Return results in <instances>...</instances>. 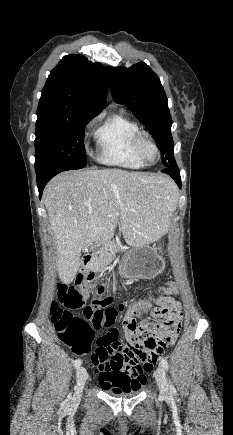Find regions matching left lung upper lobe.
<instances>
[{
	"label": "left lung upper lobe",
	"instance_id": "left-lung-upper-lobe-1",
	"mask_svg": "<svg viewBox=\"0 0 233 435\" xmlns=\"http://www.w3.org/2000/svg\"><path fill=\"white\" fill-rule=\"evenodd\" d=\"M112 95L127 106L152 134L165 166H176L168 100L159 77L144 62L130 68L106 67Z\"/></svg>",
	"mask_w": 233,
	"mask_h": 435
}]
</instances>
